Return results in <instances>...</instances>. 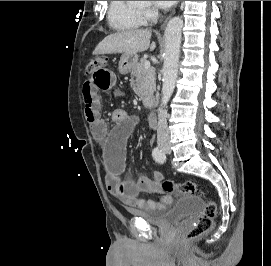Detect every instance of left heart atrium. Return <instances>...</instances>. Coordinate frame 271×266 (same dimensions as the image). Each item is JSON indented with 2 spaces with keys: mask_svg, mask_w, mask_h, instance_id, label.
<instances>
[{
  "mask_svg": "<svg viewBox=\"0 0 271 266\" xmlns=\"http://www.w3.org/2000/svg\"><path fill=\"white\" fill-rule=\"evenodd\" d=\"M176 1H154V4L160 8H168L172 6Z\"/></svg>",
  "mask_w": 271,
  "mask_h": 266,
  "instance_id": "1",
  "label": "left heart atrium"
}]
</instances>
